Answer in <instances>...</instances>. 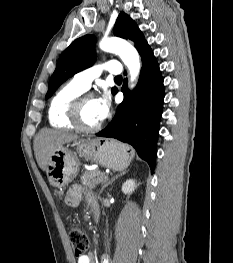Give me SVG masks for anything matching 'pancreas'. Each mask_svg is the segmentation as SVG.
Returning <instances> with one entry per match:
<instances>
[{
    "label": "pancreas",
    "instance_id": "obj_1",
    "mask_svg": "<svg viewBox=\"0 0 233 263\" xmlns=\"http://www.w3.org/2000/svg\"><path fill=\"white\" fill-rule=\"evenodd\" d=\"M106 178L107 176L104 172H101L100 170H90L85 171L81 177V182L86 188L94 189L98 183L102 182Z\"/></svg>",
    "mask_w": 233,
    "mask_h": 263
}]
</instances>
